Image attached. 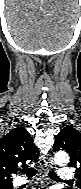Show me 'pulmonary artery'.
Segmentation results:
<instances>
[{
    "mask_svg": "<svg viewBox=\"0 0 81 189\" xmlns=\"http://www.w3.org/2000/svg\"><path fill=\"white\" fill-rule=\"evenodd\" d=\"M58 175H59V178L62 181H69L73 178L72 170L70 168H67V167L60 168L59 171H58ZM27 182H28L27 180H25L23 178H19V179H17L15 185L19 186V185L25 184Z\"/></svg>",
    "mask_w": 81,
    "mask_h": 189,
    "instance_id": "e3ab8cb5",
    "label": "pulmonary artery"
}]
</instances>
